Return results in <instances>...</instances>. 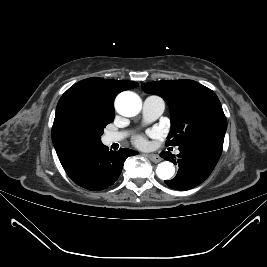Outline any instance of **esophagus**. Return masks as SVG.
Listing matches in <instances>:
<instances>
[{
  "instance_id": "obj_1",
  "label": "esophagus",
  "mask_w": 267,
  "mask_h": 267,
  "mask_svg": "<svg viewBox=\"0 0 267 267\" xmlns=\"http://www.w3.org/2000/svg\"><path fill=\"white\" fill-rule=\"evenodd\" d=\"M146 156L152 161V162H155V163H158L161 161V157L159 155H156V154H146Z\"/></svg>"
}]
</instances>
